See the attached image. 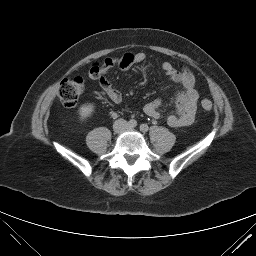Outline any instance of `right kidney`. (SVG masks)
I'll return each instance as SVG.
<instances>
[{"instance_id": "obj_1", "label": "right kidney", "mask_w": 256, "mask_h": 256, "mask_svg": "<svg viewBox=\"0 0 256 256\" xmlns=\"http://www.w3.org/2000/svg\"><path fill=\"white\" fill-rule=\"evenodd\" d=\"M95 106L93 103H84L79 107L78 114L81 121H85L91 117L94 112Z\"/></svg>"}]
</instances>
